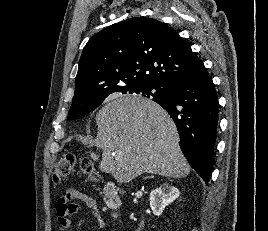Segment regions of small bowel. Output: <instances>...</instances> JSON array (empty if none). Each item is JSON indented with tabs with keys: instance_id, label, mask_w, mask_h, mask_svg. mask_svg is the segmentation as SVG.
<instances>
[{
	"instance_id": "1",
	"label": "small bowel",
	"mask_w": 268,
	"mask_h": 231,
	"mask_svg": "<svg viewBox=\"0 0 268 231\" xmlns=\"http://www.w3.org/2000/svg\"><path fill=\"white\" fill-rule=\"evenodd\" d=\"M55 209L61 228H71L73 226L72 216L81 210H87L96 221L99 230L104 229L103 218L96 200L77 188L69 187L63 190L56 200Z\"/></svg>"
}]
</instances>
